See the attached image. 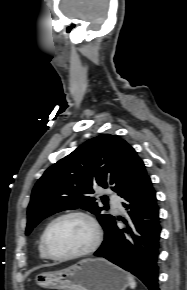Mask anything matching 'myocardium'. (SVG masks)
Segmentation results:
<instances>
[{"mask_svg":"<svg viewBox=\"0 0 187 290\" xmlns=\"http://www.w3.org/2000/svg\"><path fill=\"white\" fill-rule=\"evenodd\" d=\"M68 217H80L84 219L90 225L92 229L93 239H92L91 244L82 251L72 253V254H67V255H56L50 249L49 234L52 227L57 222ZM101 241H102V231H101L99 223L97 222V220L92 214L84 210H70V211H66L64 213L59 214L48 223L42 235V246H43L44 252L48 256V258L55 261H67V260L87 257L98 249V247L101 244Z\"/></svg>","mask_w":187,"mask_h":290,"instance_id":"obj_1","label":"myocardium"}]
</instances>
